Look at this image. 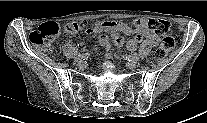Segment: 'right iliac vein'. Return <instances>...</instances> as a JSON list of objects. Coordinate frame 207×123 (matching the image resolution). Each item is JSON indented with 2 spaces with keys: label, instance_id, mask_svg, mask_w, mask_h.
I'll list each match as a JSON object with an SVG mask.
<instances>
[{
  "label": "right iliac vein",
  "instance_id": "obj_1",
  "mask_svg": "<svg viewBox=\"0 0 207 123\" xmlns=\"http://www.w3.org/2000/svg\"><path fill=\"white\" fill-rule=\"evenodd\" d=\"M77 66L80 68L84 67V62L82 60L77 61Z\"/></svg>",
  "mask_w": 207,
  "mask_h": 123
}]
</instances>
